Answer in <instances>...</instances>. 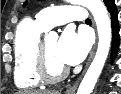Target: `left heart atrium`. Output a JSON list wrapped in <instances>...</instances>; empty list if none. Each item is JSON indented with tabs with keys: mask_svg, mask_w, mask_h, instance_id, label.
<instances>
[{
	"mask_svg": "<svg viewBox=\"0 0 121 94\" xmlns=\"http://www.w3.org/2000/svg\"><path fill=\"white\" fill-rule=\"evenodd\" d=\"M57 56L67 66L77 65L83 61L88 52V40L73 30H65L57 43Z\"/></svg>",
	"mask_w": 121,
	"mask_h": 94,
	"instance_id": "39dd6f15",
	"label": "left heart atrium"
}]
</instances>
